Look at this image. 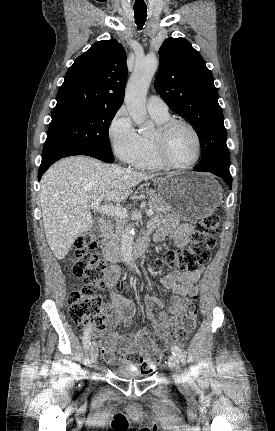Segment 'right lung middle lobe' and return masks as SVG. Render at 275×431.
I'll list each match as a JSON object with an SVG mask.
<instances>
[{
	"mask_svg": "<svg viewBox=\"0 0 275 431\" xmlns=\"http://www.w3.org/2000/svg\"><path fill=\"white\" fill-rule=\"evenodd\" d=\"M114 109H75L52 113L44 147L80 144L113 156L108 132Z\"/></svg>",
	"mask_w": 275,
	"mask_h": 431,
	"instance_id": "1",
	"label": "right lung middle lobe"
}]
</instances>
